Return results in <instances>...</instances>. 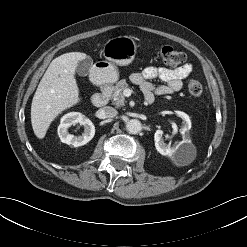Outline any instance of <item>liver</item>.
Returning <instances> with one entry per match:
<instances>
[{
	"instance_id": "obj_1",
	"label": "liver",
	"mask_w": 247,
	"mask_h": 247,
	"mask_svg": "<svg viewBox=\"0 0 247 247\" xmlns=\"http://www.w3.org/2000/svg\"><path fill=\"white\" fill-rule=\"evenodd\" d=\"M85 53L62 54L50 63L31 104V123L37 138L43 139L51 122L65 109L80 102L75 70Z\"/></svg>"
}]
</instances>
